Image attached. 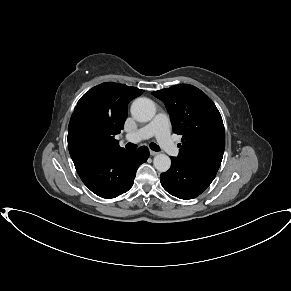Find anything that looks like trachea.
Returning a JSON list of instances; mask_svg holds the SVG:
<instances>
[{"mask_svg": "<svg viewBox=\"0 0 291 291\" xmlns=\"http://www.w3.org/2000/svg\"><path fill=\"white\" fill-rule=\"evenodd\" d=\"M149 146H150V148H151L153 151H160V147H159L157 144L153 143V142L150 143ZM126 148H127V149H136V148H137V145H136V144H133V143H128V144L126 145Z\"/></svg>", "mask_w": 291, "mask_h": 291, "instance_id": "obj_1", "label": "trachea"}]
</instances>
